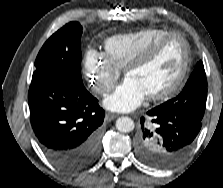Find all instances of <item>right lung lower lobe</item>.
<instances>
[{
    "label": "right lung lower lobe",
    "mask_w": 223,
    "mask_h": 188,
    "mask_svg": "<svg viewBox=\"0 0 223 188\" xmlns=\"http://www.w3.org/2000/svg\"><path fill=\"white\" fill-rule=\"evenodd\" d=\"M28 102L40 147L56 167L74 172L94 163L105 116L96 98L67 81L33 76Z\"/></svg>",
    "instance_id": "98d812e1"
}]
</instances>
